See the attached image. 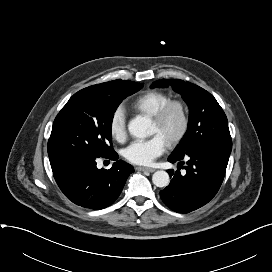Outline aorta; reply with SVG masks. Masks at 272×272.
Returning <instances> with one entry per match:
<instances>
[{
  "label": "aorta",
  "mask_w": 272,
  "mask_h": 272,
  "mask_svg": "<svg viewBox=\"0 0 272 272\" xmlns=\"http://www.w3.org/2000/svg\"><path fill=\"white\" fill-rule=\"evenodd\" d=\"M129 133L136 138H146L153 134L152 122L144 117H135L128 124ZM152 182L157 187H166L169 182V174L166 171H156L152 176Z\"/></svg>",
  "instance_id": "762f6f07"
}]
</instances>
